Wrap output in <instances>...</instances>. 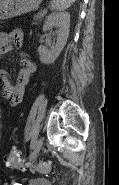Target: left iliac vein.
<instances>
[{
  "instance_id": "obj_1",
  "label": "left iliac vein",
  "mask_w": 119,
  "mask_h": 185,
  "mask_svg": "<svg viewBox=\"0 0 119 185\" xmlns=\"http://www.w3.org/2000/svg\"><path fill=\"white\" fill-rule=\"evenodd\" d=\"M43 146V139L40 138L33 146L32 152L29 155V160H34Z\"/></svg>"
}]
</instances>
